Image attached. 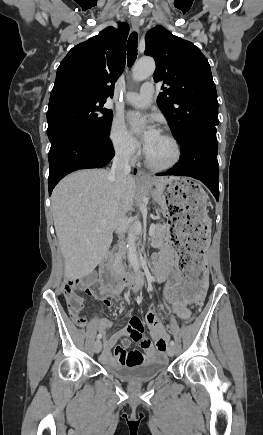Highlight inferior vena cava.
<instances>
[{
	"label": "inferior vena cava",
	"mask_w": 263,
	"mask_h": 435,
	"mask_svg": "<svg viewBox=\"0 0 263 435\" xmlns=\"http://www.w3.org/2000/svg\"><path fill=\"white\" fill-rule=\"evenodd\" d=\"M129 155L117 154L114 157L112 168L109 172L108 179L115 182L118 193H122L125 186V180L130 173Z\"/></svg>",
	"instance_id": "602c4592"
}]
</instances>
